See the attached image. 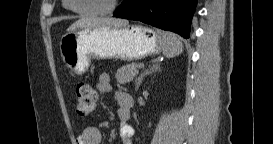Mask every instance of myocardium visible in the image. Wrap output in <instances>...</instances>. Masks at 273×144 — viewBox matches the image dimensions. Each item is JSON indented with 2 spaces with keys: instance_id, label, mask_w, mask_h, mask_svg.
<instances>
[{
  "instance_id": "f54148a6",
  "label": "myocardium",
  "mask_w": 273,
  "mask_h": 144,
  "mask_svg": "<svg viewBox=\"0 0 273 144\" xmlns=\"http://www.w3.org/2000/svg\"><path fill=\"white\" fill-rule=\"evenodd\" d=\"M68 3H69V8L77 14H80V15H104V14L113 13L119 4V0H112L107 7L100 9V10H80L74 6V0H68Z\"/></svg>"
}]
</instances>
